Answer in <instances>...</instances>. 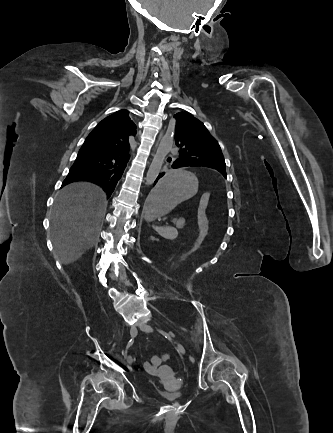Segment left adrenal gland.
<instances>
[{"mask_svg":"<svg viewBox=\"0 0 333 433\" xmlns=\"http://www.w3.org/2000/svg\"><path fill=\"white\" fill-rule=\"evenodd\" d=\"M154 238L151 236V240H153Z\"/></svg>","mask_w":333,"mask_h":433,"instance_id":"left-adrenal-gland-1","label":"left adrenal gland"}]
</instances>
